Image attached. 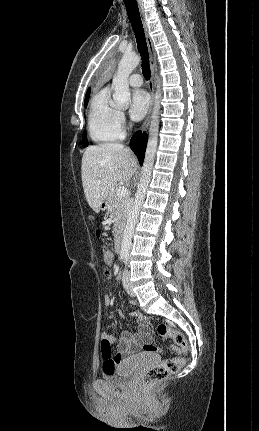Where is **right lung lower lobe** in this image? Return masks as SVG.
<instances>
[{"instance_id": "obj_1", "label": "right lung lower lobe", "mask_w": 259, "mask_h": 431, "mask_svg": "<svg viewBox=\"0 0 259 431\" xmlns=\"http://www.w3.org/2000/svg\"><path fill=\"white\" fill-rule=\"evenodd\" d=\"M147 144V134L144 132L141 134L140 131L136 132L130 141V147L137 155L140 165H142L145 155V149Z\"/></svg>"}]
</instances>
